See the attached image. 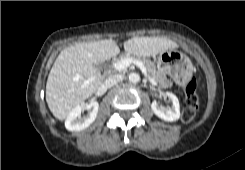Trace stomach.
I'll return each mask as SVG.
<instances>
[{
	"label": "stomach",
	"mask_w": 245,
	"mask_h": 170,
	"mask_svg": "<svg viewBox=\"0 0 245 170\" xmlns=\"http://www.w3.org/2000/svg\"><path fill=\"white\" fill-rule=\"evenodd\" d=\"M185 67L191 68L189 58L180 51L168 50L159 54L157 68L165 74H173L184 71Z\"/></svg>",
	"instance_id": "obj_1"
}]
</instances>
